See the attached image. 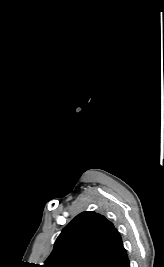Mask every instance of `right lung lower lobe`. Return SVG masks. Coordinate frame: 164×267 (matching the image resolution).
<instances>
[{"label":"right lung lower lobe","mask_w":164,"mask_h":267,"mask_svg":"<svg viewBox=\"0 0 164 267\" xmlns=\"http://www.w3.org/2000/svg\"><path fill=\"white\" fill-rule=\"evenodd\" d=\"M99 267H130L127 252L124 247L105 260Z\"/></svg>","instance_id":"right-lung-lower-lobe-1"}]
</instances>
